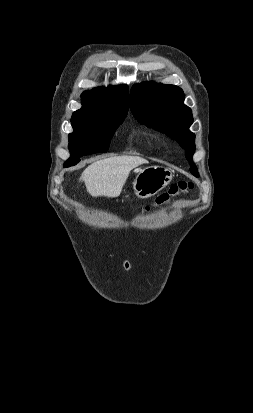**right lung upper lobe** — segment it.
I'll return each mask as SVG.
<instances>
[{
  "mask_svg": "<svg viewBox=\"0 0 253 413\" xmlns=\"http://www.w3.org/2000/svg\"><path fill=\"white\" fill-rule=\"evenodd\" d=\"M82 108L75 111L71 122L96 121L127 115L129 107V92L127 85L117 87H98L85 91L81 95Z\"/></svg>",
  "mask_w": 253,
  "mask_h": 413,
  "instance_id": "obj_1",
  "label": "right lung upper lobe"
}]
</instances>
